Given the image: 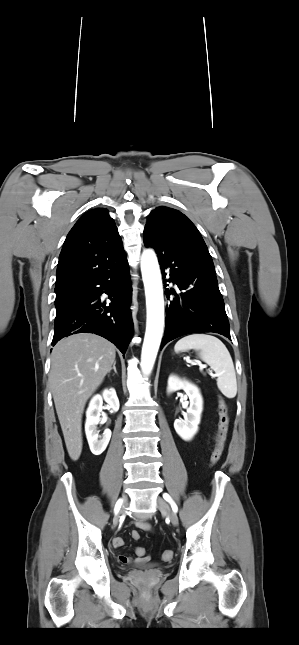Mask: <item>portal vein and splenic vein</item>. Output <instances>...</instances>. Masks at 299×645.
I'll return each instance as SVG.
<instances>
[{
  "label": "portal vein and splenic vein",
  "instance_id": "1",
  "mask_svg": "<svg viewBox=\"0 0 299 645\" xmlns=\"http://www.w3.org/2000/svg\"><path fill=\"white\" fill-rule=\"evenodd\" d=\"M203 368H206V366H205V365H202V366H201V369H203Z\"/></svg>",
  "mask_w": 299,
  "mask_h": 645
}]
</instances>
